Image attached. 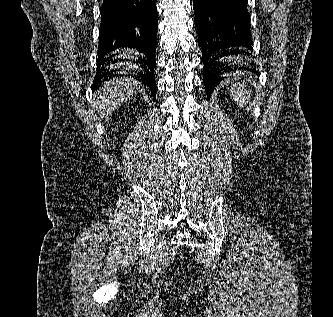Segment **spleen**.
<instances>
[{
    "label": "spleen",
    "instance_id": "1",
    "mask_svg": "<svg viewBox=\"0 0 333 317\" xmlns=\"http://www.w3.org/2000/svg\"><path fill=\"white\" fill-rule=\"evenodd\" d=\"M231 75L239 76V74L237 75L235 73ZM230 91L231 95L233 96V98L235 99L240 108H243L244 106L247 105L250 99V91L247 89L246 84L244 82H237L232 84Z\"/></svg>",
    "mask_w": 333,
    "mask_h": 317
}]
</instances>
